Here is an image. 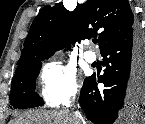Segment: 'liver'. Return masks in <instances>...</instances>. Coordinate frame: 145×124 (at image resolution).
I'll return each instance as SVG.
<instances>
[{"instance_id": "1", "label": "liver", "mask_w": 145, "mask_h": 124, "mask_svg": "<svg viewBox=\"0 0 145 124\" xmlns=\"http://www.w3.org/2000/svg\"><path fill=\"white\" fill-rule=\"evenodd\" d=\"M72 115L64 111H29L10 124H76Z\"/></svg>"}]
</instances>
